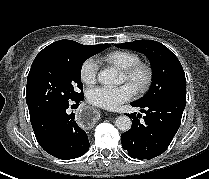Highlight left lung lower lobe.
<instances>
[{
  "mask_svg": "<svg viewBox=\"0 0 209 179\" xmlns=\"http://www.w3.org/2000/svg\"><path fill=\"white\" fill-rule=\"evenodd\" d=\"M139 107L144 122H140L141 114L132 113V127L121 135L124 150L133 158L152 159L162 154L170 145L179 129L186 96H175L157 100L148 104L130 103Z\"/></svg>",
  "mask_w": 209,
  "mask_h": 179,
  "instance_id": "left-lung-lower-lobe-1",
  "label": "left lung lower lobe"
}]
</instances>
